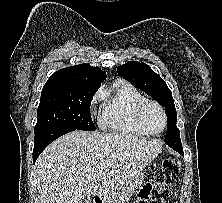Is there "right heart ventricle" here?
Segmentation results:
<instances>
[{
    "instance_id": "obj_1",
    "label": "right heart ventricle",
    "mask_w": 222,
    "mask_h": 203,
    "mask_svg": "<svg viewBox=\"0 0 222 203\" xmlns=\"http://www.w3.org/2000/svg\"><path fill=\"white\" fill-rule=\"evenodd\" d=\"M103 98L101 125L104 129L129 136L148 135L136 119V109L145 97L134 86L118 81L103 92Z\"/></svg>"
}]
</instances>
